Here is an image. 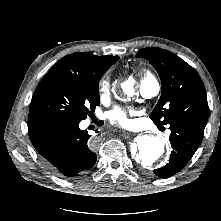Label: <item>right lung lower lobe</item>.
Segmentation results:
<instances>
[{"label":"right lung lower lobe","mask_w":221,"mask_h":221,"mask_svg":"<svg viewBox=\"0 0 221 221\" xmlns=\"http://www.w3.org/2000/svg\"><path fill=\"white\" fill-rule=\"evenodd\" d=\"M79 120L46 113H29L30 140L43 163L55 174L74 177L90 169L96 153L90 135Z\"/></svg>","instance_id":"right-lung-lower-lobe-1"}]
</instances>
